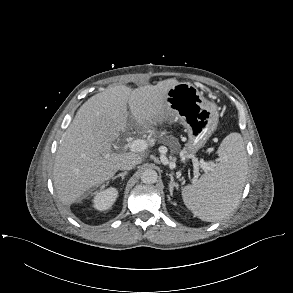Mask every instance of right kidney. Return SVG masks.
Instances as JSON below:
<instances>
[{
	"mask_svg": "<svg viewBox=\"0 0 293 293\" xmlns=\"http://www.w3.org/2000/svg\"><path fill=\"white\" fill-rule=\"evenodd\" d=\"M117 197L118 191L113 187L97 191L93 198V207L99 211H105L112 207Z\"/></svg>",
	"mask_w": 293,
	"mask_h": 293,
	"instance_id": "right-kidney-1",
	"label": "right kidney"
}]
</instances>
